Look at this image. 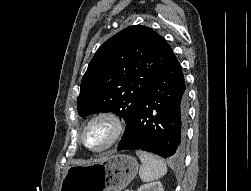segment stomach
Wrapping results in <instances>:
<instances>
[{
	"instance_id": "stomach-1",
	"label": "stomach",
	"mask_w": 251,
	"mask_h": 191,
	"mask_svg": "<svg viewBox=\"0 0 251 191\" xmlns=\"http://www.w3.org/2000/svg\"><path fill=\"white\" fill-rule=\"evenodd\" d=\"M138 171L132 155L109 153L97 163L70 165L60 185V191H121Z\"/></svg>"
}]
</instances>
